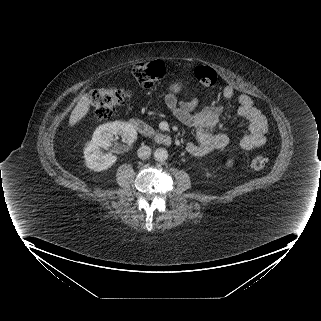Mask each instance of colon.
Wrapping results in <instances>:
<instances>
[{
    "label": "colon",
    "mask_w": 321,
    "mask_h": 321,
    "mask_svg": "<svg viewBox=\"0 0 321 321\" xmlns=\"http://www.w3.org/2000/svg\"><path fill=\"white\" fill-rule=\"evenodd\" d=\"M166 74V68L161 61L140 63L134 66L132 75L136 81L144 88H152L161 81ZM196 79L205 86H214L217 82L216 71L205 65L195 69ZM129 98V92L124 89H117L106 86L93 90L88 102L94 110L95 115L105 120L114 116L119 106ZM265 156H257L251 162V167L255 170L263 169L267 164Z\"/></svg>",
    "instance_id": "colon-1"
}]
</instances>
